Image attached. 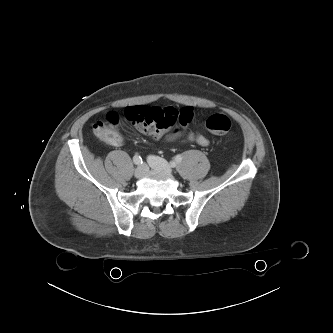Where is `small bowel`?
Returning a JSON list of instances; mask_svg holds the SVG:
<instances>
[{"mask_svg":"<svg viewBox=\"0 0 333 333\" xmlns=\"http://www.w3.org/2000/svg\"><path fill=\"white\" fill-rule=\"evenodd\" d=\"M125 119L130 122L140 133L153 139H177L182 136L181 128L186 127L193 119L194 111L186 107L177 110L174 107H128L124 112ZM188 141L201 146L209 144V140L202 134L190 132L186 136ZM123 143L122 136L115 132L112 146H120Z\"/></svg>","mask_w":333,"mask_h":333,"instance_id":"small-bowel-1","label":"small bowel"}]
</instances>
